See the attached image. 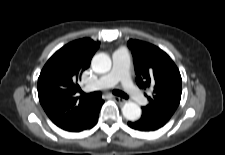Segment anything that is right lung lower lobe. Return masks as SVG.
Returning a JSON list of instances; mask_svg holds the SVG:
<instances>
[{
  "label": "right lung lower lobe",
  "instance_id": "1",
  "mask_svg": "<svg viewBox=\"0 0 225 155\" xmlns=\"http://www.w3.org/2000/svg\"><path fill=\"white\" fill-rule=\"evenodd\" d=\"M103 103H104V101L102 99L95 100L92 107L89 109V111L84 116L82 122L77 127H74L67 131L80 132V131L92 128L97 123L99 111H100V108L103 105Z\"/></svg>",
  "mask_w": 225,
  "mask_h": 155
}]
</instances>
